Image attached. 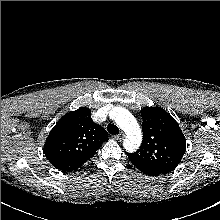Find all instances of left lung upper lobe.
I'll return each mask as SVG.
<instances>
[{
    "instance_id": "1",
    "label": "left lung upper lobe",
    "mask_w": 220,
    "mask_h": 220,
    "mask_svg": "<svg viewBox=\"0 0 220 220\" xmlns=\"http://www.w3.org/2000/svg\"><path fill=\"white\" fill-rule=\"evenodd\" d=\"M141 115L142 145L127 155L159 174H167L180 163L186 151V139L178 123L164 109L145 107Z\"/></svg>"
}]
</instances>
